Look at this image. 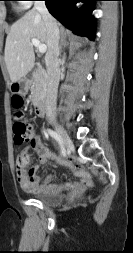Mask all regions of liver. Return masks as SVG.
<instances>
[{
    "mask_svg": "<svg viewBox=\"0 0 133 253\" xmlns=\"http://www.w3.org/2000/svg\"><path fill=\"white\" fill-rule=\"evenodd\" d=\"M33 38L47 44L45 22L35 9L15 22L6 38L4 59L12 83L19 81L34 66Z\"/></svg>",
    "mask_w": 133,
    "mask_h": 253,
    "instance_id": "liver-1",
    "label": "liver"
}]
</instances>
